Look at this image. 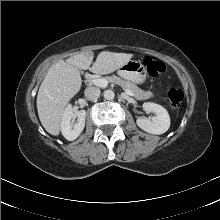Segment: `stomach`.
I'll use <instances>...</instances> for the list:
<instances>
[{
  "instance_id": "stomach-1",
  "label": "stomach",
  "mask_w": 220,
  "mask_h": 220,
  "mask_svg": "<svg viewBox=\"0 0 220 220\" xmlns=\"http://www.w3.org/2000/svg\"><path fill=\"white\" fill-rule=\"evenodd\" d=\"M118 74L135 84L144 83L147 77V70L141 61L129 60L118 70Z\"/></svg>"
}]
</instances>
